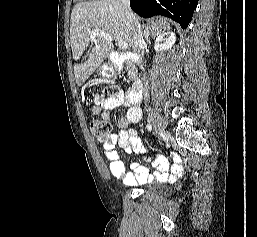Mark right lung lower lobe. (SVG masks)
Wrapping results in <instances>:
<instances>
[{
	"label": "right lung lower lobe",
	"mask_w": 257,
	"mask_h": 237,
	"mask_svg": "<svg viewBox=\"0 0 257 237\" xmlns=\"http://www.w3.org/2000/svg\"><path fill=\"white\" fill-rule=\"evenodd\" d=\"M198 0H130L134 12L144 18L163 15L178 22L183 29L189 25Z\"/></svg>",
	"instance_id": "obj_1"
}]
</instances>
